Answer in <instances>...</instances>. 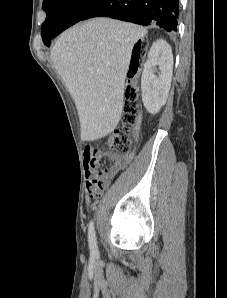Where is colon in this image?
I'll list each match as a JSON object with an SVG mask.
<instances>
[{"label": "colon", "mask_w": 227, "mask_h": 298, "mask_svg": "<svg viewBox=\"0 0 227 298\" xmlns=\"http://www.w3.org/2000/svg\"><path fill=\"white\" fill-rule=\"evenodd\" d=\"M137 69V65H132L129 72L133 75ZM138 89L131 84H128L125 90V102L123 106V128L117 129L111 132L106 138V146L109 153L124 155L130 151L131 142L128 134V130L137 122L138 115ZM87 150V149H85ZM98 181L92 183L93 191L91 192L92 197L99 196L98 193Z\"/></svg>", "instance_id": "1"}]
</instances>
